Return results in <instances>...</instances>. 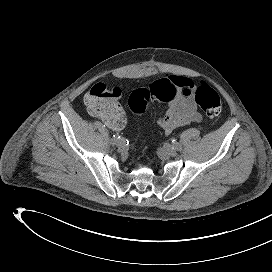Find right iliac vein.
Returning a JSON list of instances; mask_svg holds the SVG:
<instances>
[{
	"label": "right iliac vein",
	"instance_id": "1",
	"mask_svg": "<svg viewBox=\"0 0 272 272\" xmlns=\"http://www.w3.org/2000/svg\"><path fill=\"white\" fill-rule=\"evenodd\" d=\"M115 145L119 148H122L125 146V141L123 139H119L116 141Z\"/></svg>",
	"mask_w": 272,
	"mask_h": 272
}]
</instances>
